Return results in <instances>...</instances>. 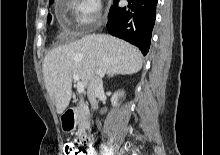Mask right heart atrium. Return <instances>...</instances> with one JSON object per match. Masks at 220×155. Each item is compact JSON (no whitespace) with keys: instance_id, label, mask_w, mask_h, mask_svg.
Masks as SVG:
<instances>
[{"instance_id":"right-heart-atrium-1","label":"right heart atrium","mask_w":220,"mask_h":155,"mask_svg":"<svg viewBox=\"0 0 220 155\" xmlns=\"http://www.w3.org/2000/svg\"><path fill=\"white\" fill-rule=\"evenodd\" d=\"M71 7L77 28L90 30L100 23L102 17L101 0H72Z\"/></svg>"}]
</instances>
